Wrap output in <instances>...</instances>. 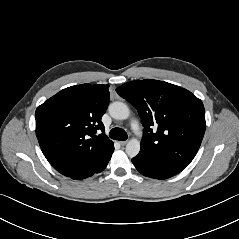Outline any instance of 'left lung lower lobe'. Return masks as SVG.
I'll list each match as a JSON object with an SVG mask.
<instances>
[{"instance_id":"obj_1","label":"left lung lower lobe","mask_w":239,"mask_h":239,"mask_svg":"<svg viewBox=\"0 0 239 239\" xmlns=\"http://www.w3.org/2000/svg\"><path fill=\"white\" fill-rule=\"evenodd\" d=\"M132 163L141 174L155 179H167L183 170V168L141 153L132 159Z\"/></svg>"}]
</instances>
